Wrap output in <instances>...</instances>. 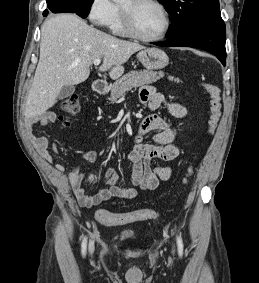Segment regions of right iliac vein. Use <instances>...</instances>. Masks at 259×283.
Segmentation results:
<instances>
[{"label":"right iliac vein","instance_id":"obj_1","mask_svg":"<svg viewBox=\"0 0 259 283\" xmlns=\"http://www.w3.org/2000/svg\"><path fill=\"white\" fill-rule=\"evenodd\" d=\"M93 251H94V241L90 240V242H89V252L93 253Z\"/></svg>","mask_w":259,"mask_h":283}]
</instances>
